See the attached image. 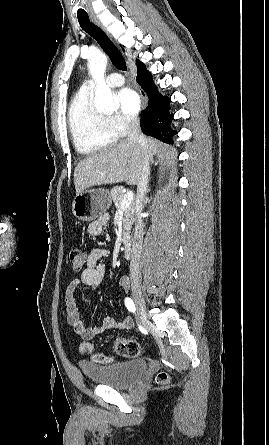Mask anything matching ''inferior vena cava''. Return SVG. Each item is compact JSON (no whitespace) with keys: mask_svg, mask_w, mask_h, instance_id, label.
<instances>
[{"mask_svg":"<svg viewBox=\"0 0 269 445\" xmlns=\"http://www.w3.org/2000/svg\"><path fill=\"white\" fill-rule=\"evenodd\" d=\"M127 122H128V141L138 143L143 153L141 177L139 183L137 184L138 185L137 200L138 203L141 204V202H143L145 199L149 183L150 157L148 154L147 139L141 132L140 121L137 117H130L128 118ZM141 211L142 208L140 207L139 212ZM142 245H143V222L142 218L138 214L135 223V231L133 236L131 260H130V279L133 281L140 280L141 278V257L143 253Z\"/></svg>","mask_w":269,"mask_h":445,"instance_id":"1","label":"inferior vena cava"}]
</instances>
